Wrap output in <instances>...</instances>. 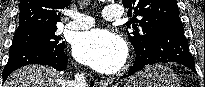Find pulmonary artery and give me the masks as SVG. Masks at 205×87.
Instances as JSON below:
<instances>
[{"label": "pulmonary artery", "instance_id": "1", "mask_svg": "<svg viewBox=\"0 0 205 87\" xmlns=\"http://www.w3.org/2000/svg\"><path fill=\"white\" fill-rule=\"evenodd\" d=\"M123 15L124 12L118 5L106 6L103 10V18L105 20H116L123 17ZM70 16L72 17V21L65 25V27L68 29L81 30L95 25V19L89 15L79 12H71Z\"/></svg>", "mask_w": 205, "mask_h": 87}]
</instances>
